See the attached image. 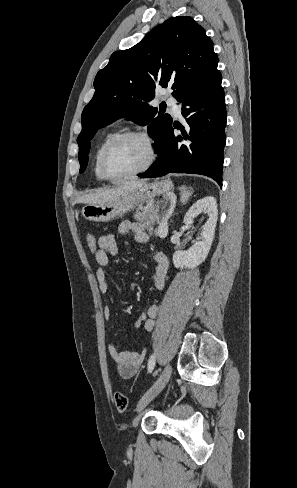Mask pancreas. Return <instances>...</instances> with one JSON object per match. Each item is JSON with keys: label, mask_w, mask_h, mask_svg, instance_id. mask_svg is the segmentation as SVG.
Segmentation results:
<instances>
[{"label": "pancreas", "mask_w": 297, "mask_h": 488, "mask_svg": "<svg viewBox=\"0 0 297 488\" xmlns=\"http://www.w3.org/2000/svg\"><path fill=\"white\" fill-rule=\"evenodd\" d=\"M134 219L142 222L145 227H151L155 222H159L160 216L155 206L148 205L137 210Z\"/></svg>", "instance_id": "1"}]
</instances>
